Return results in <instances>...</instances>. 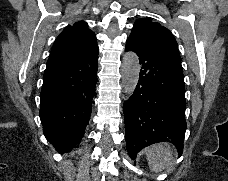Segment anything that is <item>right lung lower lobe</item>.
Returning a JSON list of instances; mask_svg holds the SVG:
<instances>
[{
  "instance_id": "98d812e1",
  "label": "right lung lower lobe",
  "mask_w": 228,
  "mask_h": 181,
  "mask_svg": "<svg viewBox=\"0 0 228 181\" xmlns=\"http://www.w3.org/2000/svg\"><path fill=\"white\" fill-rule=\"evenodd\" d=\"M98 52L47 64L40 94L43 132L55 149L70 152L89 122L97 82Z\"/></svg>"
}]
</instances>
